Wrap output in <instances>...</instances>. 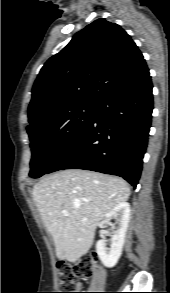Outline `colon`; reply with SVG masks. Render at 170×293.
<instances>
[{"mask_svg": "<svg viewBox=\"0 0 170 293\" xmlns=\"http://www.w3.org/2000/svg\"><path fill=\"white\" fill-rule=\"evenodd\" d=\"M96 255L94 253L85 254L79 261L73 264L59 265L58 278L60 293H81L75 291L78 280H85L92 276Z\"/></svg>", "mask_w": 170, "mask_h": 293, "instance_id": "5ec220e1", "label": "colon"}]
</instances>
